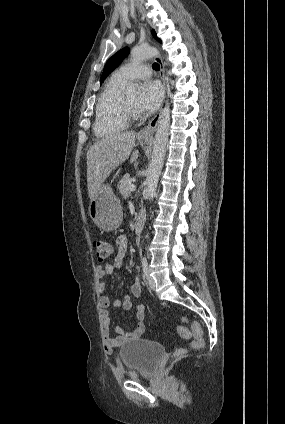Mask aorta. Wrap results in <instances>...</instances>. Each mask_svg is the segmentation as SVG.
I'll use <instances>...</instances> for the list:
<instances>
[{
    "label": "aorta",
    "mask_w": 285,
    "mask_h": 424,
    "mask_svg": "<svg viewBox=\"0 0 285 424\" xmlns=\"http://www.w3.org/2000/svg\"><path fill=\"white\" fill-rule=\"evenodd\" d=\"M157 56H159L158 50L150 46H137L131 50V61L133 62H140ZM138 91L139 86L136 83H130L127 86L128 94H136ZM169 127L170 107L169 104H167L159 115L158 126L155 133L153 156L148 168V174L146 178L147 193L149 200L153 199L156 194L159 176L161 174L166 153Z\"/></svg>",
    "instance_id": "1"
}]
</instances>
